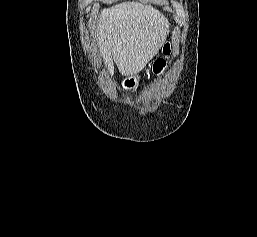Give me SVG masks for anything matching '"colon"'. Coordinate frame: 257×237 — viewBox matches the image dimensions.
Masks as SVG:
<instances>
[{"label": "colon", "mask_w": 257, "mask_h": 237, "mask_svg": "<svg viewBox=\"0 0 257 237\" xmlns=\"http://www.w3.org/2000/svg\"><path fill=\"white\" fill-rule=\"evenodd\" d=\"M170 51H171V45L169 42H166L163 46V55L159 57L155 62L154 72L156 74H160L164 69L166 65V57L169 55Z\"/></svg>", "instance_id": "obj_1"}]
</instances>
